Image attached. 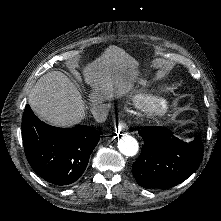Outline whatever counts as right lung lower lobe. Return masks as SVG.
Masks as SVG:
<instances>
[{
  "instance_id": "1",
  "label": "right lung lower lobe",
  "mask_w": 221,
  "mask_h": 221,
  "mask_svg": "<svg viewBox=\"0 0 221 221\" xmlns=\"http://www.w3.org/2000/svg\"><path fill=\"white\" fill-rule=\"evenodd\" d=\"M22 139L33 170L49 183L68 185L85 171L100 136L98 131L85 125L73 128L50 126L39 120L26 105Z\"/></svg>"
}]
</instances>
